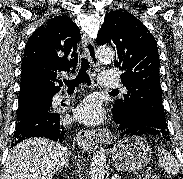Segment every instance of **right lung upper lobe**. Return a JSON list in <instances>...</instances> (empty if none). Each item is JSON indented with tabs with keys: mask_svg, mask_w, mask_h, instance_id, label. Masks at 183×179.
<instances>
[{
	"mask_svg": "<svg viewBox=\"0 0 183 179\" xmlns=\"http://www.w3.org/2000/svg\"><path fill=\"white\" fill-rule=\"evenodd\" d=\"M80 37L78 26L67 16L54 17L36 29L22 58L19 97L56 94L62 86L60 72H73L77 65Z\"/></svg>",
	"mask_w": 183,
	"mask_h": 179,
	"instance_id": "obj_1",
	"label": "right lung upper lobe"
}]
</instances>
